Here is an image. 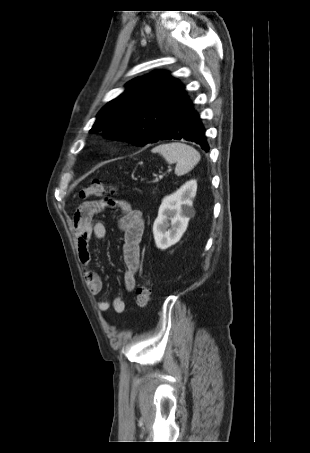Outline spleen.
Masks as SVG:
<instances>
[{
	"instance_id": "obj_1",
	"label": "spleen",
	"mask_w": 310,
	"mask_h": 453,
	"mask_svg": "<svg viewBox=\"0 0 310 453\" xmlns=\"http://www.w3.org/2000/svg\"><path fill=\"white\" fill-rule=\"evenodd\" d=\"M152 152L162 155L169 164L176 163L175 174L177 176L191 171L201 158L195 148L180 142L158 145L152 149Z\"/></svg>"
}]
</instances>
